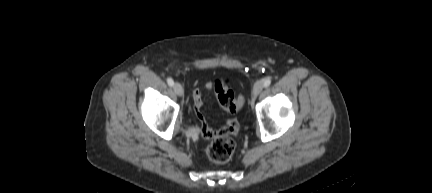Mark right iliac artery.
<instances>
[{
    "label": "right iliac artery",
    "instance_id": "1",
    "mask_svg": "<svg viewBox=\"0 0 432 193\" xmlns=\"http://www.w3.org/2000/svg\"><path fill=\"white\" fill-rule=\"evenodd\" d=\"M167 83H168V85L171 86V87L174 85V81H173V79L170 78V77L167 79Z\"/></svg>",
    "mask_w": 432,
    "mask_h": 193
}]
</instances>
